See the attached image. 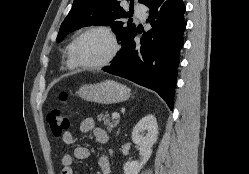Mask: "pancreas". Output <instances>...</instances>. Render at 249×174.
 Wrapping results in <instances>:
<instances>
[{
	"mask_svg": "<svg viewBox=\"0 0 249 174\" xmlns=\"http://www.w3.org/2000/svg\"><path fill=\"white\" fill-rule=\"evenodd\" d=\"M97 120L99 122H102L104 123V125L107 127V130L109 132H111L116 126L117 124L119 123L117 120H113L109 117L108 114H104V113H101L97 116Z\"/></svg>",
	"mask_w": 249,
	"mask_h": 174,
	"instance_id": "obj_1",
	"label": "pancreas"
}]
</instances>
